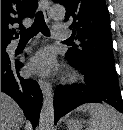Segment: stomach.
Masks as SVG:
<instances>
[{
	"instance_id": "0dacf381",
	"label": "stomach",
	"mask_w": 123,
	"mask_h": 130,
	"mask_svg": "<svg viewBox=\"0 0 123 130\" xmlns=\"http://www.w3.org/2000/svg\"><path fill=\"white\" fill-rule=\"evenodd\" d=\"M67 126L69 130H82L83 123L80 120L72 119L67 121Z\"/></svg>"
}]
</instances>
